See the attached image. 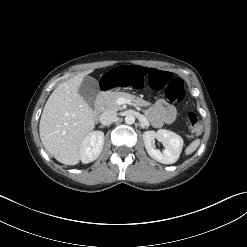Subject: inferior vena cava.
<instances>
[{
	"mask_svg": "<svg viewBox=\"0 0 247 247\" xmlns=\"http://www.w3.org/2000/svg\"><path fill=\"white\" fill-rule=\"evenodd\" d=\"M117 118V113L112 110H107L103 112L100 116V122L104 126L112 124Z\"/></svg>",
	"mask_w": 247,
	"mask_h": 247,
	"instance_id": "602c4592",
	"label": "inferior vena cava"
}]
</instances>
